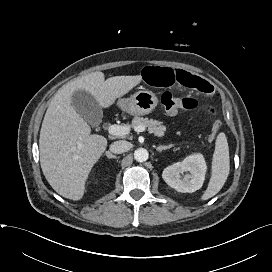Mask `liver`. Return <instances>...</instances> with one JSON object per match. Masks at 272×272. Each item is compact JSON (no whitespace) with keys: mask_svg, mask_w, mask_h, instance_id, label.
Instances as JSON below:
<instances>
[{"mask_svg":"<svg viewBox=\"0 0 272 272\" xmlns=\"http://www.w3.org/2000/svg\"><path fill=\"white\" fill-rule=\"evenodd\" d=\"M141 80V75L105 80L104 73L93 72L67 83L55 94L43 119L39 150L43 174L59 195L82 199L88 175L107 147V139L90 134V126L72 106L73 93L85 90L100 107L108 108Z\"/></svg>","mask_w":272,"mask_h":272,"instance_id":"liver-1","label":"liver"}]
</instances>
